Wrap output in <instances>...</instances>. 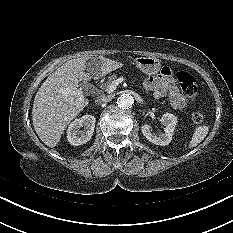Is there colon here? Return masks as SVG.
Returning <instances> with one entry per match:
<instances>
[{
  "mask_svg": "<svg viewBox=\"0 0 233 233\" xmlns=\"http://www.w3.org/2000/svg\"><path fill=\"white\" fill-rule=\"evenodd\" d=\"M176 79L181 86V89L189 100L195 99L197 95V81L195 77L186 71H178ZM191 118L194 123H201L203 121V113L199 108H194L191 112Z\"/></svg>",
  "mask_w": 233,
  "mask_h": 233,
  "instance_id": "colon-1",
  "label": "colon"
}]
</instances>
